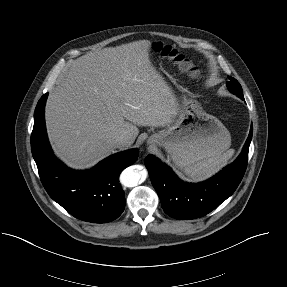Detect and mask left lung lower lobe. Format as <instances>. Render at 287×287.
Returning <instances> with one entry per match:
<instances>
[{
    "instance_id": "obj_1",
    "label": "left lung lower lobe",
    "mask_w": 287,
    "mask_h": 287,
    "mask_svg": "<svg viewBox=\"0 0 287 287\" xmlns=\"http://www.w3.org/2000/svg\"><path fill=\"white\" fill-rule=\"evenodd\" d=\"M244 100V97L241 98ZM253 127L239 157L211 179L202 183H185L155 156L148 155L145 165L166 214L175 219L202 217L228 197L238 187L246 170Z\"/></svg>"
}]
</instances>
